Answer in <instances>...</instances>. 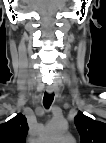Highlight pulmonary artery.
Masks as SVG:
<instances>
[{
  "instance_id": "obj_1",
  "label": "pulmonary artery",
  "mask_w": 106,
  "mask_h": 143,
  "mask_svg": "<svg viewBox=\"0 0 106 143\" xmlns=\"http://www.w3.org/2000/svg\"><path fill=\"white\" fill-rule=\"evenodd\" d=\"M63 139L67 140V141H70V140H72V137L71 136H65Z\"/></svg>"
}]
</instances>
